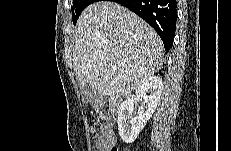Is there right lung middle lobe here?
Instances as JSON below:
<instances>
[{"instance_id": "right-lung-middle-lobe-1", "label": "right lung middle lobe", "mask_w": 231, "mask_h": 151, "mask_svg": "<svg viewBox=\"0 0 231 151\" xmlns=\"http://www.w3.org/2000/svg\"><path fill=\"white\" fill-rule=\"evenodd\" d=\"M95 0H73L72 10V19L73 24L75 25L81 12L91 3H94Z\"/></svg>"}]
</instances>
